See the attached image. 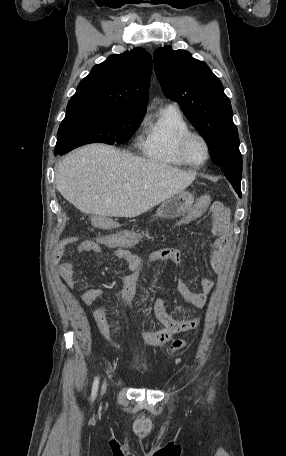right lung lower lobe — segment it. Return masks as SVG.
Wrapping results in <instances>:
<instances>
[{
    "mask_svg": "<svg viewBox=\"0 0 286 456\" xmlns=\"http://www.w3.org/2000/svg\"><path fill=\"white\" fill-rule=\"evenodd\" d=\"M55 154H58V151L55 150Z\"/></svg>",
    "mask_w": 286,
    "mask_h": 456,
    "instance_id": "right-lung-lower-lobe-1",
    "label": "right lung lower lobe"
}]
</instances>
